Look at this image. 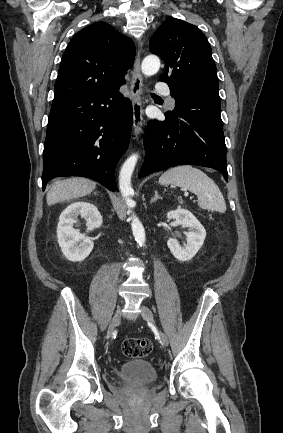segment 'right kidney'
Segmentation results:
<instances>
[{
    "instance_id": "right-kidney-1",
    "label": "right kidney",
    "mask_w": 283,
    "mask_h": 433,
    "mask_svg": "<svg viewBox=\"0 0 283 433\" xmlns=\"http://www.w3.org/2000/svg\"><path fill=\"white\" fill-rule=\"evenodd\" d=\"M85 218L87 232L99 228L102 216L97 207L87 202H74L60 215L57 227V238L63 255L70 261H83L93 249V241L85 234L73 228L78 216Z\"/></svg>"
}]
</instances>
